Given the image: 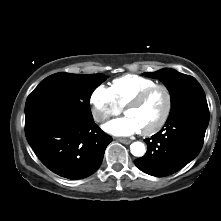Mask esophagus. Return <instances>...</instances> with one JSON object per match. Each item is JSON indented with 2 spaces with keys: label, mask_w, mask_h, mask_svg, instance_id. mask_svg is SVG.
Segmentation results:
<instances>
[{
  "label": "esophagus",
  "mask_w": 221,
  "mask_h": 221,
  "mask_svg": "<svg viewBox=\"0 0 221 221\" xmlns=\"http://www.w3.org/2000/svg\"><path fill=\"white\" fill-rule=\"evenodd\" d=\"M116 140L119 141V142H121V143H123V144H126V145H128V144L131 143V140H129V139H124V138H116Z\"/></svg>",
  "instance_id": "esophagus-1"
}]
</instances>
